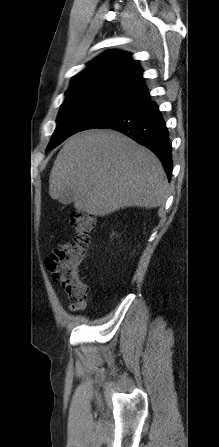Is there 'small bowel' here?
<instances>
[{
    "label": "small bowel",
    "mask_w": 219,
    "mask_h": 447,
    "mask_svg": "<svg viewBox=\"0 0 219 447\" xmlns=\"http://www.w3.org/2000/svg\"><path fill=\"white\" fill-rule=\"evenodd\" d=\"M87 306L85 302H71L68 306V310L71 312H80L83 311Z\"/></svg>",
    "instance_id": "c3829d8e"
}]
</instances>
